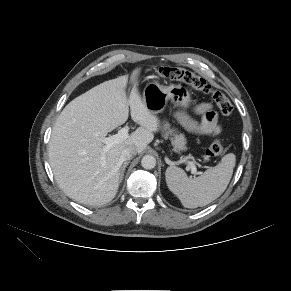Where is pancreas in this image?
<instances>
[{
	"mask_svg": "<svg viewBox=\"0 0 291 291\" xmlns=\"http://www.w3.org/2000/svg\"><path fill=\"white\" fill-rule=\"evenodd\" d=\"M164 130H165V134H164L165 137H167L169 134L170 135L173 134V130H170L168 124L164 125ZM171 141H172V145L174 147L173 150L175 152H180V151L186 150V139H185L184 135L173 134Z\"/></svg>",
	"mask_w": 291,
	"mask_h": 291,
	"instance_id": "obj_1",
	"label": "pancreas"
}]
</instances>
